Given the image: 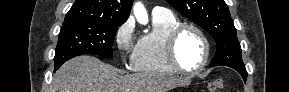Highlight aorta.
I'll return each instance as SVG.
<instances>
[{
    "mask_svg": "<svg viewBox=\"0 0 289 92\" xmlns=\"http://www.w3.org/2000/svg\"><path fill=\"white\" fill-rule=\"evenodd\" d=\"M134 15L137 21L141 24H146L148 21L147 12L141 2H137L133 7Z\"/></svg>",
    "mask_w": 289,
    "mask_h": 92,
    "instance_id": "1",
    "label": "aorta"
}]
</instances>
